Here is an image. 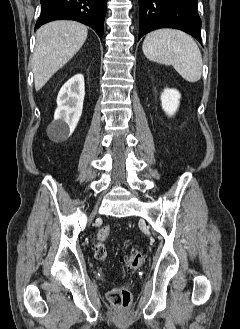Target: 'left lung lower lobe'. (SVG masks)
I'll use <instances>...</instances> for the list:
<instances>
[{"mask_svg": "<svg viewBox=\"0 0 240 329\" xmlns=\"http://www.w3.org/2000/svg\"><path fill=\"white\" fill-rule=\"evenodd\" d=\"M139 7V39L155 29L175 28L201 42L197 0H139Z\"/></svg>", "mask_w": 240, "mask_h": 329, "instance_id": "left-lung-lower-lobe-1", "label": "left lung lower lobe"}]
</instances>
